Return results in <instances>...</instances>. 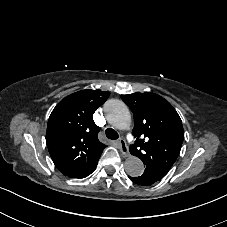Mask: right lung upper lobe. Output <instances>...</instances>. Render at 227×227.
I'll return each mask as SVG.
<instances>
[{"mask_svg":"<svg viewBox=\"0 0 227 227\" xmlns=\"http://www.w3.org/2000/svg\"><path fill=\"white\" fill-rule=\"evenodd\" d=\"M109 92L82 90L65 97L52 111L46 143L55 166L65 172L85 171L98 161L106 147L98 140L100 128L93 113L109 97Z\"/></svg>","mask_w":227,"mask_h":227,"instance_id":"1","label":"right lung upper lobe"}]
</instances>
